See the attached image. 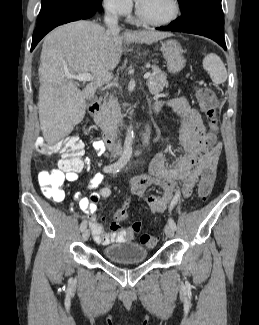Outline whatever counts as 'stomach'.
I'll return each instance as SVG.
<instances>
[{"mask_svg": "<svg viewBox=\"0 0 259 325\" xmlns=\"http://www.w3.org/2000/svg\"><path fill=\"white\" fill-rule=\"evenodd\" d=\"M161 51L167 62V69L171 73L180 72L185 66L183 50L180 43L170 39L162 43Z\"/></svg>", "mask_w": 259, "mask_h": 325, "instance_id": "0dacf381", "label": "stomach"}]
</instances>
